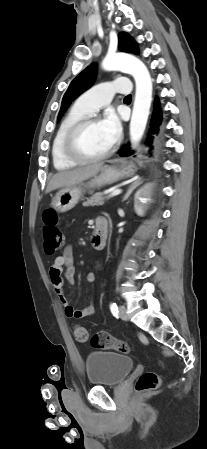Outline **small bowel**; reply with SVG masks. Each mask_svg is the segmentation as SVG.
I'll return each instance as SVG.
<instances>
[{
  "label": "small bowel",
  "instance_id": "c3829d8e",
  "mask_svg": "<svg viewBox=\"0 0 207 449\" xmlns=\"http://www.w3.org/2000/svg\"><path fill=\"white\" fill-rule=\"evenodd\" d=\"M74 253L71 245H67L61 255L55 258L50 267L51 281L58 299L64 307L66 316L74 319H82L92 316L95 313V305L90 303L81 310H76L72 306V300L66 295L64 289V278L70 283L74 284ZM88 283L94 284L96 275L94 272H89L86 276Z\"/></svg>",
  "mask_w": 207,
  "mask_h": 449
}]
</instances>
